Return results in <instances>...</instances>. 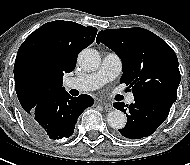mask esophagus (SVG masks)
I'll return each mask as SVG.
<instances>
[{
	"label": "esophagus",
	"mask_w": 190,
	"mask_h": 165,
	"mask_svg": "<svg viewBox=\"0 0 190 165\" xmlns=\"http://www.w3.org/2000/svg\"><path fill=\"white\" fill-rule=\"evenodd\" d=\"M98 103L102 105L106 111H111L113 109V106L110 103L104 102L102 100H99Z\"/></svg>",
	"instance_id": "esophagus-1"
}]
</instances>
